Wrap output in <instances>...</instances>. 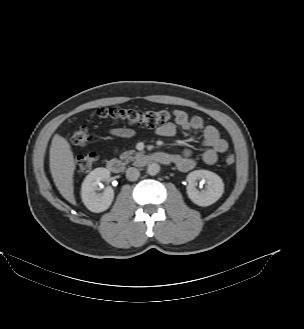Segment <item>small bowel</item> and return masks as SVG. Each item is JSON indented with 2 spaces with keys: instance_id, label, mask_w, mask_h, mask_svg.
Returning <instances> with one entry per match:
<instances>
[{
  "instance_id": "obj_1",
  "label": "small bowel",
  "mask_w": 304,
  "mask_h": 329,
  "mask_svg": "<svg viewBox=\"0 0 304 329\" xmlns=\"http://www.w3.org/2000/svg\"><path fill=\"white\" fill-rule=\"evenodd\" d=\"M174 119L172 122H168L165 125L159 126L156 129V133L161 137H172L178 132V129L190 133H201L202 145L206 147V150L202 153L201 159L207 165L214 164L220 154L225 153L228 148V142L220 137L218 130L212 126L205 124L202 117L189 114L181 109L173 111ZM110 136L118 140L130 139L134 132L130 128L119 127L113 128L109 132ZM118 150V147H115ZM173 164L181 171H189L196 165V161L193 157V152L190 148H186L180 154L172 155Z\"/></svg>"
}]
</instances>
